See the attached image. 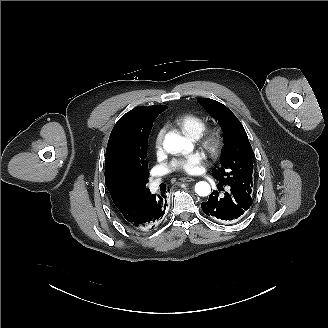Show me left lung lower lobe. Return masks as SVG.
I'll return each instance as SVG.
<instances>
[{"label":"left lung lower lobe","instance_id":"0a47b994","mask_svg":"<svg viewBox=\"0 0 328 328\" xmlns=\"http://www.w3.org/2000/svg\"><path fill=\"white\" fill-rule=\"evenodd\" d=\"M221 185V184H219ZM252 198L249 193L244 192L235 187H230L224 196H219V193L213 191L210 194L207 202L201 204L203 212L213 219L228 223L231 220H236L250 208Z\"/></svg>","mask_w":328,"mask_h":328}]
</instances>
